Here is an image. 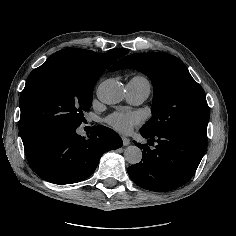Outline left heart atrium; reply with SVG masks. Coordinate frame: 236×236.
Here are the masks:
<instances>
[{
  "mask_svg": "<svg viewBox=\"0 0 236 236\" xmlns=\"http://www.w3.org/2000/svg\"><path fill=\"white\" fill-rule=\"evenodd\" d=\"M140 116L134 112H117L107 118L110 126L121 133L129 134L134 125L138 124Z\"/></svg>",
  "mask_w": 236,
  "mask_h": 236,
  "instance_id": "39dd6f15",
  "label": "left heart atrium"
}]
</instances>
